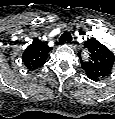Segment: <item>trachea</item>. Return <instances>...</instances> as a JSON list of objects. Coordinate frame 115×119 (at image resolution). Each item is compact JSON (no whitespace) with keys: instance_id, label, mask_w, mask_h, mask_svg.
I'll return each instance as SVG.
<instances>
[{"instance_id":"1","label":"trachea","mask_w":115,"mask_h":119,"mask_svg":"<svg viewBox=\"0 0 115 119\" xmlns=\"http://www.w3.org/2000/svg\"><path fill=\"white\" fill-rule=\"evenodd\" d=\"M72 36L70 32L65 31L59 38V43L71 42Z\"/></svg>"}]
</instances>
